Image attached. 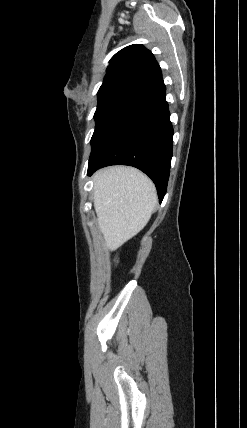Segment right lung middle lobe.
<instances>
[{"label":"right lung middle lobe","mask_w":247,"mask_h":428,"mask_svg":"<svg viewBox=\"0 0 247 428\" xmlns=\"http://www.w3.org/2000/svg\"><path fill=\"white\" fill-rule=\"evenodd\" d=\"M139 93L129 90H112L98 93V105L94 114L95 131L91 145L98 139L103 129L119 114Z\"/></svg>","instance_id":"1"}]
</instances>
